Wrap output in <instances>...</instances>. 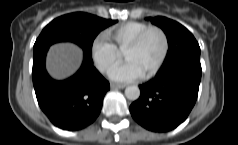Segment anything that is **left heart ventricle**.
Listing matches in <instances>:
<instances>
[{"instance_id": "obj_1", "label": "left heart ventricle", "mask_w": 238, "mask_h": 145, "mask_svg": "<svg viewBox=\"0 0 238 145\" xmlns=\"http://www.w3.org/2000/svg\"><path fill=\"white\" fill-rule=\"evenodd\" d=\"M162 48L163 40L160 33L153 31L138 48L126 51L124 57L126 60L132 61L144 74L157 62Z\"/></svg>"}]
</instances>
